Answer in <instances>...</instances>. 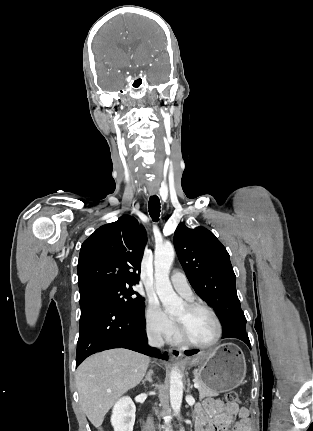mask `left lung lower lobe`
<instances>
[{
	"instance_id": "1",
	"label": "left lung lower lobe",
	"mask_w": 313,
	"mask_h": 431,
	"mask_svg": "<svg viewBox=\"0 0 313 431\" xmlns=\"http://www.w3.org/2000/svg\"><path fill=\"white\" fill-rule=\"evenodd\" d=\"M223 338H237V339H240L243 342H245L249 346V348H251L250 340L248 338V335L246 333V329L245 328H236V329L230 330V331H228V332H226V333L223 334ZM196 353H198V350H188V351H185V354L187 356H191V355L196 354Z\"/></svg>"
}]
</instances>
